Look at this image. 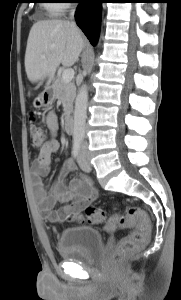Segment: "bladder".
I'll use <instances>...</instances> for the list:
<instances>
[{"label":"bladder","mask_w":181,"mask_h":300,"mask_svg":"<svg viewBox=\"0 0 181 300\" xmlns=\"http://www.w3.org/2000/svg\"><path fill=\"white\" fill-rule=\"evenodd\" d=\"M101 232L87 226L64 229L58 239L60 255L71 261L86 262L97 258L103 249Z\"/></svg>","instance_id":"31cf9c89"}]
</instances>
